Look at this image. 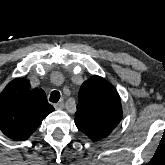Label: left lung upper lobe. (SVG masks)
I'll list each match as a JSON object with an SVG mask.
<instances>
[{"label": "left lung upper lobe", "mask_w": 165, "mask_h": 165, "mask_svg": "<svg viewBox=\"0 0 165 165\" xmlns=\"http://www.w3.org/2000/svg\"><path fill=\"white\" fill-rule=\"evenodd\" d=\"M78 96L77 128L93 141L108 136L123 116L117 90L104 78L94 75L82 84Z\"/></svg>", "instance_id": "5c2ea615"}]
</instances>
